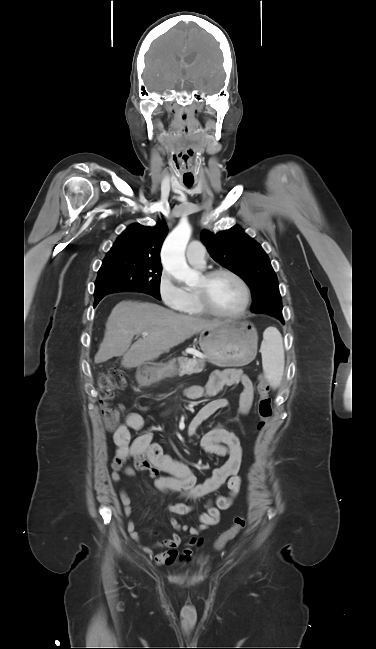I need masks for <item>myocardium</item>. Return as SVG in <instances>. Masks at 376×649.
Wrapping results in <instances>:
<instances>
[{
    "mask_svg": "<svg viewBox=\"0 0 376 649\" xmlns=\"http://www.w3.org/2000/svg\"><path fill=\"white\" fill-rule=\"evenodd\" d=\"M221 274H226L233 277L239 283V285L243 290V295H244L243 303L237 311L232 313L224 312L214 307L208 296L209 283L213 278ZM201 278H202V284L199 287H197L195 290H196L198 300L202 308L206 311V313L216 317L225 318V319H237L242 317L246 313L250 304L251 292L247 282L237 272L228 268H217L205 272Z\"/></svg>",
    "mask_w": 376,
    "mask_h": 649,
    "instance_id": "1",
    "label": "myocardium"
}]
</instances>
